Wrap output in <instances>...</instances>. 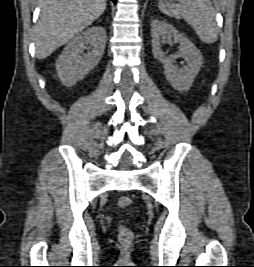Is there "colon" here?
<instances>
[{
	"label": "colon",
	"instance_id": "obj_1",
	"mask_svg": "<svg viewBox=\"0 0 254 267\" xmlns=\"http://www.w3.org/2000/svg\"><path fill=\"white\" fill-rule=\"evenodd\" d=\"M131 203H132V200L128 196H121L117 200V205L121 209L128 208L131 205ZM118 239L120 243H122L123 245H129L132 243L134 239V234L129 227L125 225H120L118 227Z\"/></svg>",
	"mask_w": 254,
	"mask_h": 267
}]
</instances>
